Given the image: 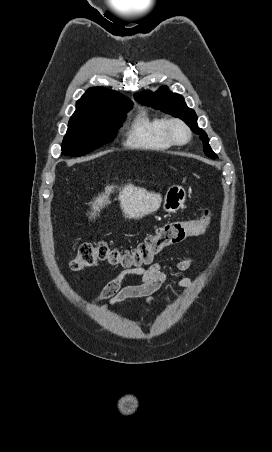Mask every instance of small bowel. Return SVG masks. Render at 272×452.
Here are the masks:
<instances>
[{"mask_svg": "<svg viewBox=\"0 0 272 452\" xmlns=\"http://www.w3.org/2000/svg\"><path fill=\"white\" fill-rule=\"evenodd\" d=\"M196 262L197 257L193 256L176 261L174 267L179 271H186L193 267ZM130 275L140 276L142 282L123 285L124 280ZM167 284H173L182 288L186 294L192 286V280L187 277H170L164 272L163 266L159 263H154L148 268L125 269L103 287L96 301L101 303L103 310H106L109 306L135 298H145L147 305H153L156 303L153 295Z\"/></svg>", "mask_w": 272, "mask_h": 452, "instance_id": "c3829d8e", "label": "small bowel"}]
</instances>
